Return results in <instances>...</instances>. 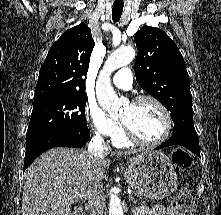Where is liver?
Returning <instances> with one entry per match:
<instances>
[{"label": "liver", "mask_w": 221, "mask_h": 215, "mask_svg": "<svg viewBox=\"0 0 221 215\" xmlns=\"http://www.w3.org/2000/svg\"><path fill=\"white\" fill-rule=\"evenodd\" d=\"M109 166L105 156L95 159L86 150L57 147L46 151L24 173L22 215H73L75 201L102 191Z\"/></svg>", "instance_id": "1"}]
</instances>
